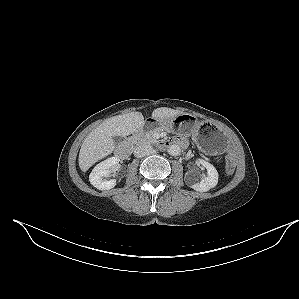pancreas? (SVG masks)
<instances>
[{
    "instance_id": "obj_1",
    "label": "pancreas",
    "mask_w": 299,
    "mask_h": 299,
    "mask_svg": "<svg viewBox=\"0 0 299 299\" xmlns=\"http://www.w3.org/2000/svg\"><path fill=\"white\" fill-rule=\"evenodd\" d=\"M161 129H155L144 133L134 134L129 141L132 144L140 145V144H153L157 140L154 138V134L156 132H160Z\"/></svg>"
}]
</instances>
